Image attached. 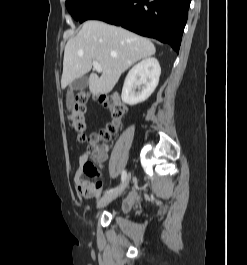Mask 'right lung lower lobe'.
Instances as JSON below:
<instances>
[{
	"instance_id": "98d812e1",
	"label": "right lung lower lobe",
	"mask_w": 247,
	"mask_h": 265,
	"mask_svg": "<svg viewBox=\"0 0 247 265\" xmlns=\"http://www.w3.org/2000/svg\"><path fill=\"white\" fill-rule=\"evenodd\" d=\"M191 0H99L79 20L97 19L168 43L178 53Z\"/></svg>"
}]
</instances>
